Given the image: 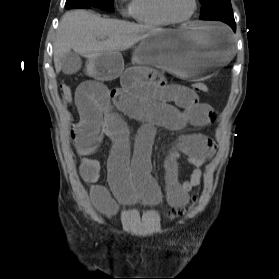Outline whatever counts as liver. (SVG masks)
I'll return each instance as SVG.
<instances>
[{
    "label": "liver",
    "instance_id": "1",
    "mask_svg": "<svg viewBox=\"0 0 279 279\" xmlns=\"http://www.w3.org/2000/svg\"><path fill=\"white\" fill-rule=\"evenodd\" d=\"M160 31L148 25L104 19L91 11H69L59 23L53 46L56 72L61 70V58L71 50L93 61L104 53L120 54Z\"/></svg>",
    "mask_w": 279,
    "mask_h": 279
}]
</instances>
